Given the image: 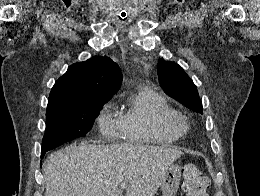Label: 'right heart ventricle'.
Segmentation results:
<instances>
[{"label": "right heart ventricle", "instance_id": "obj_1", "mask_svg": "<svg viewBox=\"0 0 260 196\" xmlns=\"http://www.w3.org/2000/svg\"><path fill=\"white\" fill-rule=\"evenodd\" d=\"M157 113H154V110ZM174 110L158 92L146 85H136L129 92L128 100L120 113L122 129L136 132L137 143L164 145L178 141L183 134L165 127L161 120ZM132 143V142H129ZM91 192H116L115 190H91Z\"/></svg>", "mask_w": 260, "mask_h": 196}]
</instances>
